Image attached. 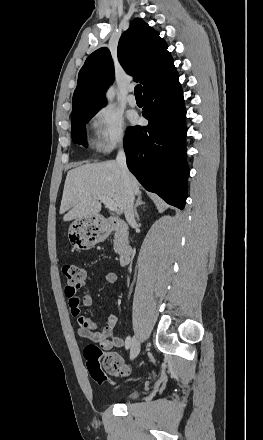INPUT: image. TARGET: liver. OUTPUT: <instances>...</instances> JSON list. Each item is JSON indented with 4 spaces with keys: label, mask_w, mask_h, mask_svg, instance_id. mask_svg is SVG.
<instances>
[{
    "label": "liver",
    "mask_w": 263,
    "mask_h": 440,
    "mask_svg": "<svg viewBox=\"0 0 263 440\" xmlns=\"http://www.w3.org/2000/svg\"><path fill=\"white\" fill-rule=\"evenodd\" d=\"M130 187L133 194H141L140 184L131 174ZM124 188V180L116 161L80 165L67 173L60 214H64V221L96 216L101 211L99 196L112 199L122 213Z\"/></svg>",
    "instance_id": "obj_1"
}]
</instances>
